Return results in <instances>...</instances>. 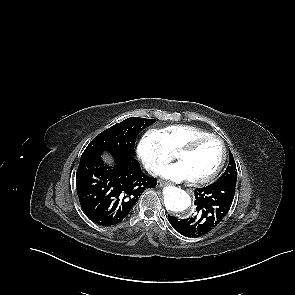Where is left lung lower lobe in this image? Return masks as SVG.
Masks as SVG:
<instances>
[{"instance_id": "1", "label": "left lung lower lobe", "mask_w": 295, "mask_h": 295, "mask_svg": "<svg viewBox=\"0 0 295 295\" xmlns=\"http://www.w3.org/2000/svg\"><path fill=\"white\" fill-rule=\"evenodd\" d=\"M236 180L222 179L194 191L197 214L179 220L168 216L173 228L184 236H202L216 227L227 215L233 202Z\"/></svg>"}]
</instances>
